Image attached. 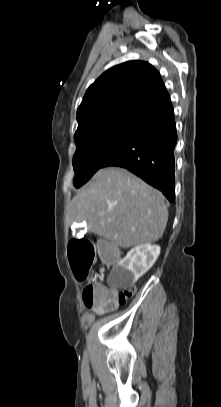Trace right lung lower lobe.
I'll return each instance as SVG.
<instances>
[{
  "mask_svg": "<svg viewBox=\"0 0 221 407\" xmlns=\"http://www.w3.org/2000/svg\"><path fill=\"white\" fill-rule=\"evenodd\" d=\"M177 134L171 101L142 120L129 138L103 163L101 168L128 169L175 199L174 148Z\"/></svg>",
  "mask_w": 221,
  "mask_h": 407,
  "instance_id": "98d812e1",
  "label": "right lung lower lobe"
}]
</instances>
